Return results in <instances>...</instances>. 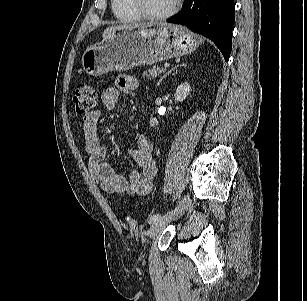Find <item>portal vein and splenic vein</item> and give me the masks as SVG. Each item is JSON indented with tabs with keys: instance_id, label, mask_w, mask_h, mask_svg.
I'll return each mask as SVG.
<instances>
[{
	"instance_id": "18ae733b",
	"label": "portal vein and splenic vein",
	"mask_w": 307,
	"mask_h": 301,
	"mask_svg": "<svg viewBox=\"0 0 307 301\" xmlns=\"http://www.w3.org/2000/svg\"><path fill=\"white\" fill-rule=\"evenodd\" d=\"M169 67V64L168 63H165L164 64V68L166 69V68H168Z\"/></svg>"
}]
</instances>
